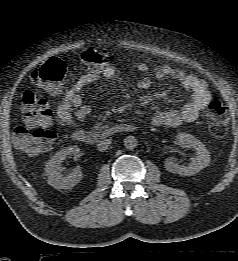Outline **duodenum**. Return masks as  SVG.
Here are the masks:
<instances>
[{
    "label": "duodenum",
    "instance_id": "1",
    "mask_svg": "<svg viewBox=\"0 0 238 261\" xmlns=\"http://www.w3.org/2000/svg\"><path fill=\"white\" fill-rule=\"evenodd\" d=\"M134 129L135 127L132 124L122 123V124L113 125L109 128H106L98 132L78 130L73 133L72 137L75 141L79 143L86 144V145H94L99 141L109 138L114 134L129 133L132 132Z\"/></svg>",
    "mask_w": 238,
    "mask_h": 261
}]
</instances>
